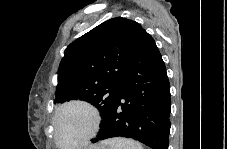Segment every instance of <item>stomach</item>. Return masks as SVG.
Returning <instances> with one entry per match:
<instances>
[{"instance_id":"stomach-1","label":"stomach","mask_w":227,"mask_h":149,"mask_svg":"<svg viewBox=\"0 0 227 149\" xmlns=\"http://www.w3.org/2000/svg\"><path fill=\"white\" fill-rule=\"evenodd\" d=\"M92 149H106L104 146H98V147H95V148H92Z\"/></svg>"}]
</instances>
